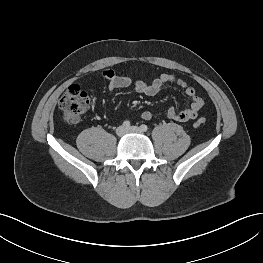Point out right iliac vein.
I'll list each match as a JSON object with an SVG mask.
<instances>
[{"label": "right iliac vein", "mask_w": 263, "mask_h": 263, "mask_svg": "<svg viewBox=\"0 0 263 263\" xmlns=\"http://www.w3.org/2000/svg\"><path fill=\"white\" fill-rule=\"evenodd\" d=\"M126 133V128L124 126H119L117 129H116V134L120 137H122L123 135H125Z\"/></svg>", "instance_id": "63e3f726"}]
</instances>
